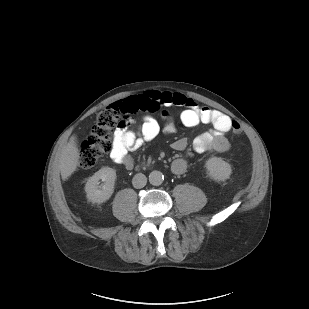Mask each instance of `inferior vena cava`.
<instances>
[{
    "label": "inferior vena cava",
    "mask_w": 309,
    "mask_h": 309,
    "mask_svg": "<svg viewBox=\"0 0 309 309\" xmlns=\"http://www.w3.org/2000/svg\"><path fill=\"white\" fill-rule=\"evenodd\" d=\"M147 183V178L144 174L138 173L132 179V184L135 188H143Z\"/></svg>",
    "instance_id": "1"
}]
</instances>
